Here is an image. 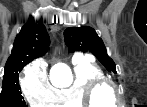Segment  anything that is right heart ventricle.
Listing matches in <instances>:
<instances>
[{"instance_id":"1","label":"right heart ventricle","mask_w":147,"mask_h":107,"mask_svg":"<svg viewBox=\"0 0 147 107\" xmlns=\"http://www.w3.org/2000/svg\"><path fill=\"white\" fill-rule=\"evenodd\" d=\"M74 79L69 86L55 90L50 103L51 107H85L83 91L87 83L94 78L103 77L102 70L87 59L73 60Z\"/></svg>"}]
</instances>
